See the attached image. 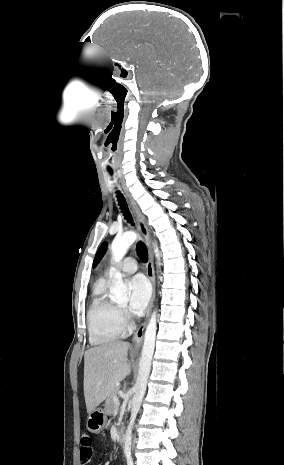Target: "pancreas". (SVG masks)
<instances>
[{"label":"pancreas","mask_w":284,"mask_h":465,"mask_svg":"<svg viewBox=\"0 0 284 465\" xmlns=\"http://www.w3.org/2000/svg\"><path fill=\"white\" fill-rule=\"evenodd\" d=\"M118 391L119 389H113V391H111V393H109L106 401H105V415H113L114 413V409H115V405H114V397H117L118 395Z\"/></svg>","instance_id":"pancreas-1"}]
</instances>
